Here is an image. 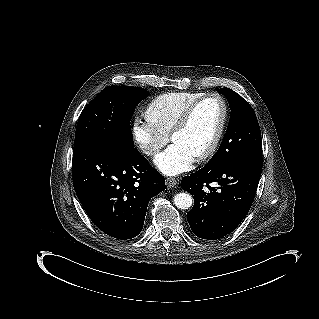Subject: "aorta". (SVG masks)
I'll return each mask as SVG.
<instances>
[{"mask_svg":"<svg viewBox=\"0 0 319 319\" xmlns=\"http://www.w3.org/2000/svg\"><path fill=\"white\" fill-rule=\"evenodd\" d=\"M193 198L188 193H178L174 196V204L177 208L186 210L192 206Z\"/></svg>","mask_w":319,"mask_h":319,"instance_id":"762f6f07","label":"aorta"}]
</instances>
